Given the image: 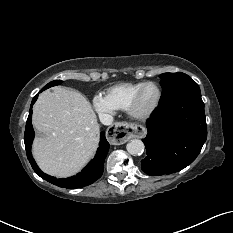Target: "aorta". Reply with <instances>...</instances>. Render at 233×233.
<instances>
[{"label": "aorta", "mask_w": 233, "mask_h": 233, "mask_svg": "<svg viewBox=\"0 0 233 233\" xmlns=\"http://www.w3.org/2000/svg\"><path fill=\"white\" fill-rule=\"evenodd\" d=\"M144 148H145L144 143L139 139H132L126 145V149L131 155L142 154Z\"/></svg>", "instance_id": "762f6f07"}]
</instances>
